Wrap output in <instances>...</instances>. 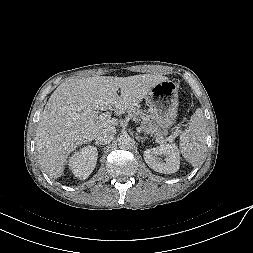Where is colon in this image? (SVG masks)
<instances>
[{
  "label": "colon",
  "mask_w": 253,
  "mask_h": 253,
  "mask_svg": "<svg viewBox=\"0 0 253 253\" xmlns=\"http://www.w3.org/2000/svg\"><path fill=\"white\" fill-rule=\"evenodd\" d=\"M181 97L184 99L186 97V94L182 93Z\"/></svg>",
  "instance_id": "1"
}]
</instances>
